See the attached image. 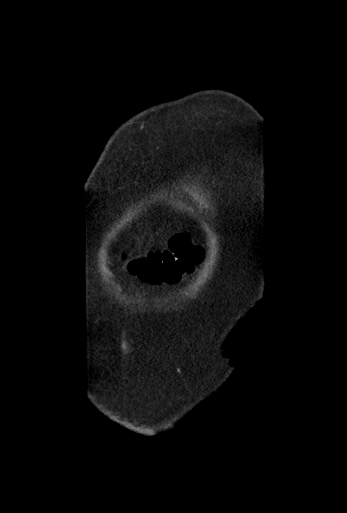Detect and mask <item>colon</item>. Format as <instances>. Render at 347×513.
Here are the masks:
<instances>
[{
  "label": "colon",
  "mask_w": 347,
  "mask_h": 513,
  "mask_svg": "<svg viewBox=\"0 0 347 513\" xmlns=\"http://www.w3.org/2000/svg\"><path fill=\"white\" fill-rule=\"evenodd\" d=\"M202 251L193 245L187 235L175 236L166 251H154L143 260H135L130 270L151 285L172 284L200 262Z\"/></svg>",
  "instance_id": "obj_1"
}]
</instances>
